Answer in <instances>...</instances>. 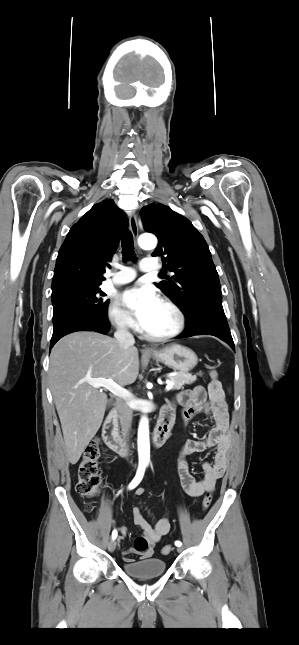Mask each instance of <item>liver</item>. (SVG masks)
I'll return each mask as SVG.
<instances>
[{"instance_id":"6515ba94","label":"liver","mask_w":299,"mask_h":645,"mask_svg":"<svg viewBox=\"0 0 299 645\" xmlns=\"http://www.w3.org/2000/svg\"><path fill=\"white\" fill-rule=\"evenodd\" d=\"M138 373L137 348L124 349L117 340L96 332L69 334L52 348L49 381L71 464L78 462L99 430L107 404V395L87 380L111 378L126 386Z\"/></svg>"}]
</instances>
